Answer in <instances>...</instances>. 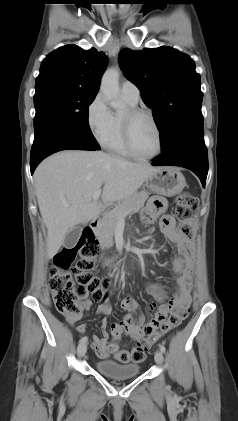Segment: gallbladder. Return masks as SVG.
I'll use <instances>...</instances> for the list:
<instances>
[{"label": "gallbladder", "mask_w": 238, "mask_h": 421, "mask_svg": "<svg viewBox=\"0 0 238 421\" xmlns=\"http://www.w3.org/2000/svg\"><path fill=\"white\" fill-rule=\"evenodd\" d=\"M81 231H82V226H75L73 229H71L65 236L63 245L67 248V249H72L80 235H81Z\"/></svg>", "instance_id": "gallbladder-1"}]
</instances>
